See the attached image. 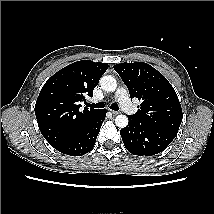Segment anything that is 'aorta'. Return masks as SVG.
Returning a JSON list of instances; mask_svg holds the SVG:
<instances>
[{
    "instance_id": "1",
    "label": "aorta",
    "mask_w": 214,
    "mask_h": 214,
    "mask_svg": "<svg viewBox=\"0 0 214 214\" xmlns=\"http://www.w3.org/2000/svg\"><path fill=\"white\" fill-rule=\"evenodd\" d=\"M101 88L107 92H114L117 88V81L111 75L102 76L100 79ZM116 126L125 128L128 125V117L126 115H118L115 118Z\"/></svg>"
}]
</instances>
